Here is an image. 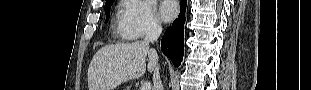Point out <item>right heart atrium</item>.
Wrapping results in <instances>:
<instances>
[{
    "label": "right heart atrium",
    "mask_w": 311,
    "mask_h": 90,
    "mask_svg": "<svg viewBox=\"0 0 311 90\" xmlns=\"http://www.w3.org/2000/svg\"><path fill=\"white\" fill-rule=\"evenodd\" d=\"M153 5L146 0H122L117 29L126 40H138L161 30Z\"/></svg>",
    "instance_id": "right-heart-atrium-1"
}]
</instances>
